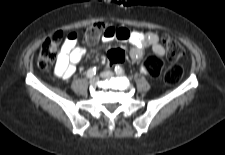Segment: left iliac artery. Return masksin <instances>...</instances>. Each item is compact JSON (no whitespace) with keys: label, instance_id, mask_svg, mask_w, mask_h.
<instances>
[{"label":"left iliac artery","instance_id":"1","mask_svg":"<svg viewBox=\"0 0 225 155\" xmlns=\"http://www.w3.org/2000/svg\"><path fill=\"white\" fill-rule=\"evenodd\" d=\"M115 73L117 75H123L124 74V69L121 66L118 65V66L115 67Z\"/></svg>","mask_w":225,"mask_h":155}]
</instances>
